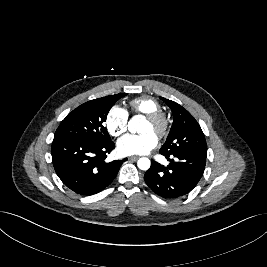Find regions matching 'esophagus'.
I'll list each match as a JSON object with an SVG mask.
<instances>
[{
	"instance_id": "esophagus-1",
	"label": "esophagus",
	"mask_w": 267,
	"mask_h": 267,
	"mask_svg": "<svg viewBox=\"0 0 267 267\" xmlns=\"http://www.w3.org/2000/svg\"><path fill=\"white\" fill-rule=\"evenodd\" d=\"M139 158V156H131L128 159L131 161H136Z\"/></svg>"
}]
</instances>
